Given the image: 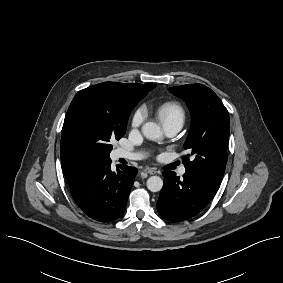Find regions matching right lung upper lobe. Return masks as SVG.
Returning <instances> with one entry per match:
<instances>
[{
	"mask_svg": "<svg viewBox=\"0 0 283 283\" xmlns=\"http://www.w3.org/2000/svg\"><path fill=\"white\" fill-rule=\"evenodd\" d=\"M99 85L107 88H118L133 96L139 97H145L147 93L153 89V84L104 82ZM60 155L62 169L69 185L76 181L86 164L92 160L73 148L63 135H61Z\"/></svg>",
	"mask_w": 283,
	"mask_h": 283,
	"instance_id": "cb5924a9",
	"label": "right lung upper lobe"
}]
</instances>
